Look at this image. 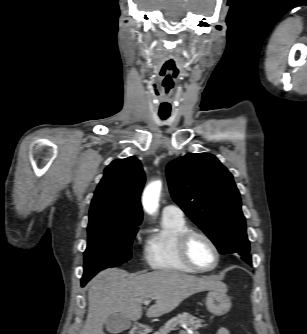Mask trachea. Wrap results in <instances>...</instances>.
<instances>
[{
  "mask_svg": "<svg viewBox=\"0 0 307 334\" xmlns=\"http://www.w3.org/2000/svg\"><path fill=\"white\" fill-rule=\"evenodd\" d=\"M168 117H169V115H160V118H161L162 120H166Z\"/></svg>",
  "mask_w": 307,
  "mask_h": 334,
  "instance_id": "trachea-1",
  "label": "trachea"
}]
</instances>
